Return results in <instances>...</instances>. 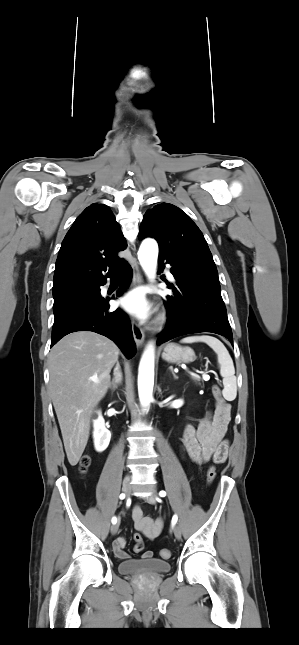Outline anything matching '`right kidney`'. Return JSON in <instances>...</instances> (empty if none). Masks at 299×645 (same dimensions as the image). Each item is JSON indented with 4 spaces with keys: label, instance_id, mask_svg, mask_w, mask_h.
<instances>
[{
    "label": "right kidney",
    "instance_id": "right-kidney-1",
    "mask_svg": "<svg viewBox=\"0 0 299 645\" xmlns=\"http://www.w3.org/2000/svg\"><path fill=\"white\" fill-rule=\"evenodd\" d=\"M97 415L98 417L93 420V428H94L93 439H94L95 450L97 452H102L109 445V442L111 439V433L105 427V421L100 411H97Z\"/></svg>",
    "mask_w": 299,
    "mask_h": 645
}]
</instances>
